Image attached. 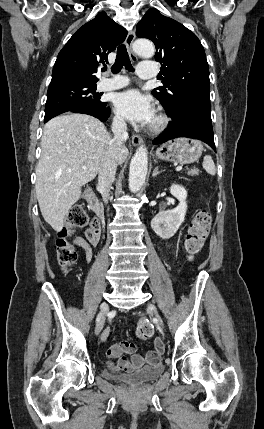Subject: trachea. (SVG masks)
Returning a JSON list of instances; mask_svg holds the SVG:
<instances>
[{"instance_id":"3493384b","label":"trachea","mask_w":264,"mask_h":429,"mask_svg":"<svg viewBox=\"0 0 264 429\" xmlns=\"http://www.w3.org/2000/svg\"><path fill=\"white\" fill-rule=\"evenodd\" d=\"M125 67L128 71H133V67L131 65L129 55L124 44L120 45L117 49V56L114 65L111 70L113 73H119L122 67ZM106 68H104V71Z\"/></svg>"}]
</instances>
